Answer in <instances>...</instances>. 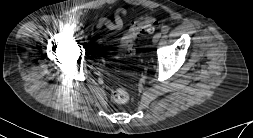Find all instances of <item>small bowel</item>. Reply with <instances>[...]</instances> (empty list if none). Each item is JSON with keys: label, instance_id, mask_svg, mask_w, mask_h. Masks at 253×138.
Listing matches in <instances>:
<instances>
[{"label": "small bowel", "instance_id": "small-bowel-1", "mask_svg": "<svg viewBox=\"0 0 253 138\" xmlns=\"http://www.w3.org/2000/svg\"><path fill=\"white\" fill-rule=\"evenodd\" d=\"M125 16H126V10L120 9V10H118V12L115 16L114 21H108V20H105L104 18H100L96 27L99 29L104 26L110 30H119L123 27Z\"/></svg>", "mask_w": 253, "mask_h": 138}]
</instances>
